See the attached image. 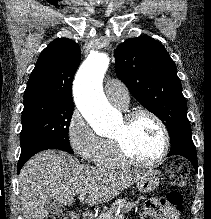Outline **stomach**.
Instances as JSON below:
<instances>
[{
  "label": "stomach",
  "mask_w": 211,
  "mask_h": 219,
  "mask_svg": "<svg viewBox=\"0 0 211 219\" xmlns=\"http://www.w3.org/2000/svg\"><path fill=\"white\" fill-rule=\"evenodd\" d=\"M158 173L153 170H145L144 175L137 181V189L141 193L155 190L159 186Z\"/></svg>",
  "instance_id": "1"
}]
</instances>
